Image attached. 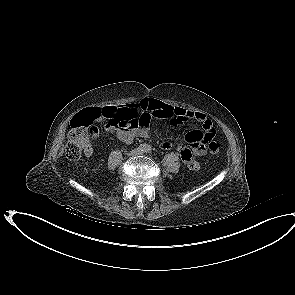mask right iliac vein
Masks as SVG:
<instances>
[{"label":"right iliac vein","mask_w":295,"mask_h":295,"mask_svg":"<svg viewBox=\"0 0 295 295\" xmlns=\"http://www.w3.org/2000/svg\"><path fill=\"white\" fill-rule=\"evenodd\" d=\"M130 155L132 156V155H134V153H131Z\"/></svg>","instance_id":"obj_1"}]
</instances>
